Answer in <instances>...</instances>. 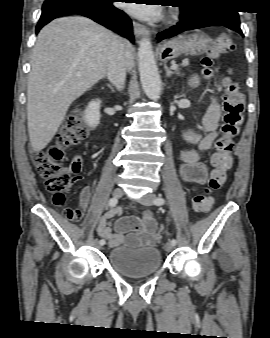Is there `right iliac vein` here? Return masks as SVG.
I'll list each match as a JSON object with an SVG mask.
<instances>
[{
    "instance_id": "63e3f726",
    "label": "right iliac vein",
    "mask_w": 270,
    "mask_h": 338,
    "mask_svg": "<svg viewBox=\"0 0 270 338\" xmlns=\"http://www.w3.org/2000/svg\"><path fill=\"white\" fill-rule=\"evenodd\" d=\"M122 193L123 192H122V190L120 188H116V189L113 190L112 195H113L114 198H120L122 196ZM93 244H94L95 247L100 248V243H99V241L97 239H95L93 241Z\"/></svg>"
}]
</instances>
